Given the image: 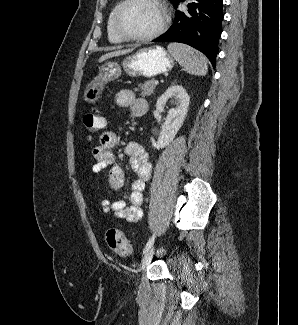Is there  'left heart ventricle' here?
Returning <instances> with one entry per match:
<instances>
[{
  "mask_svg": "<svg viewBox=\"0 0 298 325\" xmlns=\"http://www.w3.org/2000/svg\"><path fill=\"white\" fill-rule=\"evenodd\" d=\"M159 22L160 15L154 6L147 2H136L124 10L119 25L127 35L141 37L155 30Z\"/></svg>",
  "mask_w": 298,
  "mask_h": 325,
  "instance_id": "left-heart-ventricle-1",
  "label": "left heart ventricle"
}]
</instances>
